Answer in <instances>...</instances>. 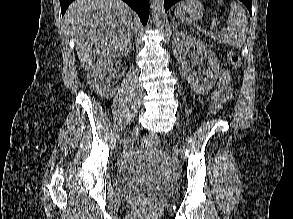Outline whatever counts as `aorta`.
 <instances>
[{"mask_svg":"<svg viewBox=\"0 0 293 219\" xmlns=\"http://www.w3.org/2000/svg\"><path fill=\"white\" fill-rule=\"evenodd\" d=\"M151 13L156 25H162L165 21L164 0H151Z\"/></svg>","mask_w":293,"mask_h":219,"instance_id":"762f6f07","label":"aorta"}]
</instances>
